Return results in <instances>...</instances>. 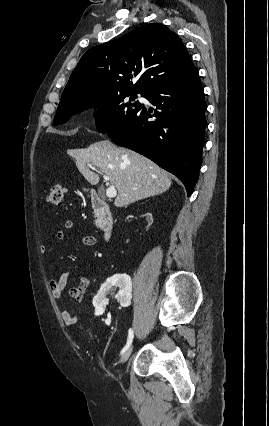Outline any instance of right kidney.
<instances>
[{
	"mask_svg": "<svg viewBox=\"0 0 269 426\" xmlns=\"http://www.w3.org/2000/svg\"><path fill=\"white\" fill-rule=\"evenodd\" d=\"M146 221L141 225V228L144 231H147L152 224V214L146 213L144 215ZM129 280V275L127 273H120L118 276H113L108 279L105 284H103L94 299V306L96 308L95 314H102L104 309H108L109 305L106 295H112L114 293V288L120 290L119 299L117 301V308L119 311H126L131 302L133 301V292L131 289V283ZM114 286V288L112 287Z\"/></svg>",
	"mask_w": 269,
	"mask_h": 426,
	"instance_id": "1",
	"label": "right kidney"
}]
</instances>
